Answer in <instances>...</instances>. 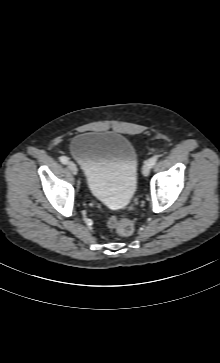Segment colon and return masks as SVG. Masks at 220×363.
<instances>
[{
    "label": "colon",
    "instance_id": "colon-1",
    "mask_svg": "<svg viewBox=\"0 0 220 363\" xmlns=\"http://www.w3.org/2000/svg\"><path fill=\"white\" fill-rule=\"evenodd\" d=\"M108 226L120 236H129L134 232V222L126 216H111Z\"/></svg>",
    "mask_w": 220,
    "mask_h": 363
}]
</instances>
